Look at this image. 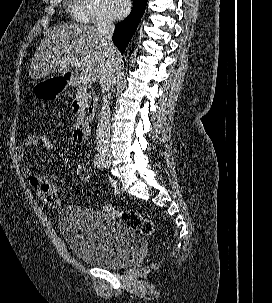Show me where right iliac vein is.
Wrapping results in <instances>:
<instances>
[{
	"mask_svg": "<svg viewBox=\"0 0 272 303\" xmlns=\"http://www.w3.org/2000/svg\"><path fill=\"white\" fill-rule=\"evenodd\" d=\"M102 160H103L104 166H106V167H109V166H110V160H108V159H106V158H103Z\"/></svg>",
	"mask_w": 272,
	"mask_h": 303,
	"instance_id": "1",
	"label": "right iliac vein"
}]
</instances>
